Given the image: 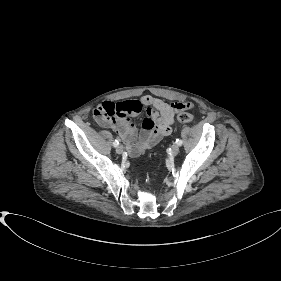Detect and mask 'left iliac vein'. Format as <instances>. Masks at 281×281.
Here are the masks:
<instances>
[{
	"mask_svg": "<svg viewBox=\"0 0 281 281\" xmlns=\"http://www.w3.org/2000/svg\"><path fill=\"white\" fill-rule=\"evenodd\" d=\"M171 153L173 156H176L179 153V145L177 144L172 145Z\"/></svg>",
	"mask_w": 281,
	"mask_h": 281,
	"instance_id": "1",
	"label": "left iliac vein"
}]
</instances>
